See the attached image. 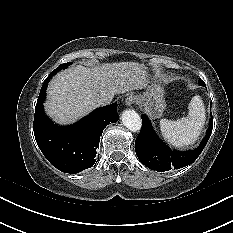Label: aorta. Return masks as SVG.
I'll list each match as a JSON object with an SVG mask.
<instances>
[{
	"label": "aorta",
	"instance_id": "aorta-1",
	"mask_svg": "<svg viewBox=\"0 0 233 233\" xmlns=\"http://www.w3.org/2000/svg\"><path fill=\"white\" fill-rule=\"evenodd\" d=\"M121 120L123 125L132 132H137L141 129V118L134 110H125L122 113Z\"/></svg>",
	"mask_w": 233,
	"mask_h": 233
}]
</instances>
